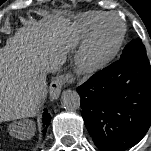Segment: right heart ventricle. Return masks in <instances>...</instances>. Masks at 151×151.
<instances>
[{
  "label": "right heart ventricle",
  "mask_w": 151,
  "mask_h": 151,
  "mask_svg": "<svg viewBox=\"0 0 151 151\" xmlns=\"http://www.w3.org/2000/svg\"><path fill=\"white\" fill-rule=\"evenodd\" d=\"M106 14H107L106 12L102 11H89L83 13L79 17L78 21L83 31L85 33H89L93 29L95 24Z\"/></svg>",
  "instance_id": "obj_1"
}]
</instances>
